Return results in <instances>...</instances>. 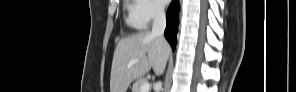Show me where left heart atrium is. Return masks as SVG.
I'll return each mask as SVG.
<instances>
[{
    "mask_svg": "<svg viewBox=\"0 0 296 92\" xmlns=\"http://www.w3.org/2000/svg\"><path fill=\"white\" fill-rule=\"evenodd\" d=\"M159 2L162 3V4L166 3L164 0H160Z\"/></svg>",
    "mask_w": 296,
    "mask_h": 92,
    "instance_id": "39dd6f15",
    "label": "left heart atrium"
}]
</instances>
